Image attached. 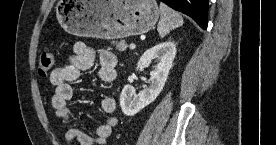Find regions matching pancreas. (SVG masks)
<instances>
[{
    "label": "pancreas",
    "mask_w": 276,
    "mask_h": 145,
    "mask_svg": "<svg viewBox=\"0 0 276 145\" xmlns=\"http://www.w3.org/2000/svg\"><path fill=\"white\" fill-rule=\"evenodd\" d=\"M112 44L114 45V47L117 50H119L121 52L125 51L128 47L127 43L124 40H122L120 42H113Z\"/></svg>",
    "instance_id": "cf45deb5"
}]
</instances>
